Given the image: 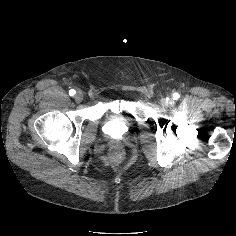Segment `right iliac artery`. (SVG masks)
I'll use <instances>...</instances> for the list:
<instances>
[{"mask_svg":"<svg viewBox=\"0 0 236 236\" xmlns=\"http://www.w3.org/2000/svg\"><path fill=\"white\" fill-rule=\"evenodd\" d=\"M75 93H76V92H75V90H74V89H71V90L69 91V95H70V96H74V95H75Z\"/></svg>","mask_w":236,"mask_h":236,"instance_id":"1","label":"right iliac artery"}]
</instances>
